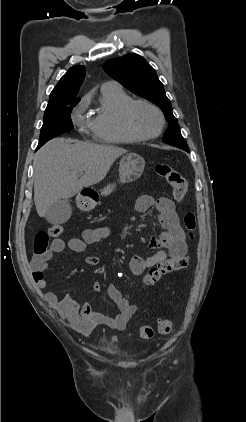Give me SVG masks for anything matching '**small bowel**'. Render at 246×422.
<instances>
[{
	"label": "small bowel",
	"instance_id": "c3829d8e",
	"mask_svg": "<svg viewBox=\"0 0 246 422\" xmlns=\"http://www.w3.org/2000/svg\"><path fill=\"white\" fill-rule=\"evenodd\" d=\"M153 207L158 212V222L164 231L158 237H151L149 240V247L157 249L156 253L148 257L135 255L130 259V270L137 276L168 259L186 257L188 250L185 232L180 225L173 200L167 197L154 198L150 195H141L135 204V208L139 212H146ZM110 234L111 230L108 227L85 229L80 237L69 240L68 247L76 253H81L87 245L106 239ZM65 248L66 243L63 240L54 239L44 255H34L31 266L33 272H40V276L34 278L38 288L45 289L47 287L43 272L47 269V263L52 254L63 252ZM85 263L89 266H97L100 259L96 256H88ZM90 287L94 291H100L102 284L95 281ZM107 293L119 310L114 316L104 315L96 311L89 303L79 305L70 295L59 299L56 293L48 291L44 293V298L79 333L89 334L100 325L122 331L129 320L137 313L139 306L132 303L129 297L114 285L107 287Z\"/></svg>",
	"mask_w": 246,
	"mask_h": 422
}]
</instances>
